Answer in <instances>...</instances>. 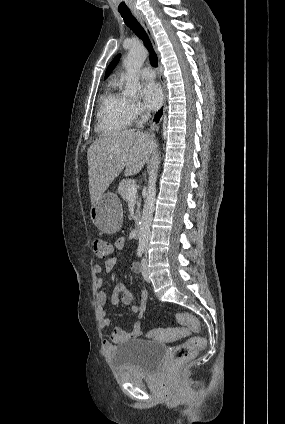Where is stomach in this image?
I'll return each instance as SVG.
<instances>
[{"instance_id":"0dacf381","label":"stomach","mask_w":285,"mask_h":424,"mask_svg":"<svg viewBox=\"0 0 285 424\" xmlns=\"http://www.w3.org/2000/svg\"><path fill=\"white\" fill-rule=\"evenodd\" d=\"M94 225L104 233L117 232L123 222V208L119 197L112 192L104 193L90 209Z\"/></svg>"}]
</instances>
